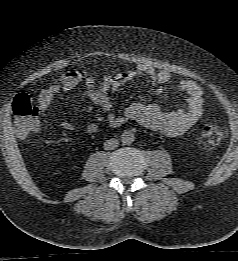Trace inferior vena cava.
<instances>
[{"mask_svg":"<svg viewBox=\"0 0 238 261\" xmlns=\"http://www.w3.org/2000/svg\"><path fill=\"white\" fill-rule=\"evenodd\" d=\"M119 145V141L117 139H109L104 143V149L113 150L117 148Z\"/></svg>","mask_w":238,"mask_h":261,"instance_id":"602c4592","label":"inferior vena cava"}]
</instances>
